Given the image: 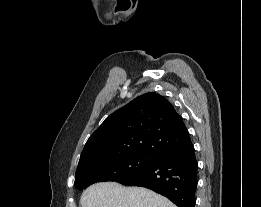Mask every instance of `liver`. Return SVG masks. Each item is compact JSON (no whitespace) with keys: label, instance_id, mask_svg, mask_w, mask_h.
Wrapping results in <instances>:
<instances>
[{"label":"liver","instance_id":"1","mask_svg":"<svg viewBox=\"0 0 261 207\" xmlns=\"http://www.w3.org/2000/svg\"><path fill=\"white\" fill-rule=\"evenodd\" d=\"M81 207H177L170 200L142 187H124L116 182H99L81 195Z\"/></svg>","mask_w":261,"mask_h":207}]
</instances>
